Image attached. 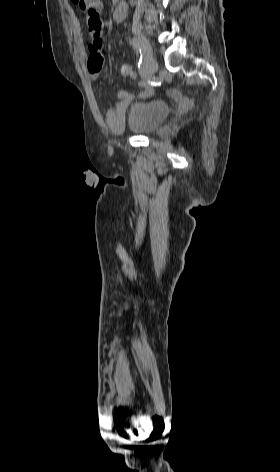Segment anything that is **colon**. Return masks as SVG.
Masks as SVG:
<instances>
[{
  "label": "colon",
  "mask_w": 280,
  "mask_h": 472,
  "mask_svg": "<svg viewBox=\"0 0 280 472\" xmlns=\"http://www.w3.org/2000/svg\"><path fill=\"white\" fill-rule=\"evenodd\" d=\"M74 4L78 5L81 11L86 15L87 19L92 23H98L100 21L99 10L100 2L98 0H71ZM119 72L123 76L135 79L136 74L128 64H121Z\"/></svg>",
  "instance_id": "5ec220e1"
}]
</instances>
